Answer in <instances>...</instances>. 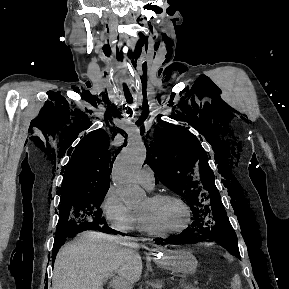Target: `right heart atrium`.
<instances>
[{
  "instance_id": "d8ad5b80",
  "label": "right heart atrium",
  "mask_w": 289,
  "mask_h": 289,
  "mask_svg": "<svg viewBox=\"0 0 289 289\" xmlns=\"http://www.w3.org/2000/svg\"><path fill=\"white\" fill-rule=\"evenodd\" d=\"M102 215L110 228L129 233L137 226V215L123 202L114 188H109L101 202Z\"/></svg>"
}]
</instances>
